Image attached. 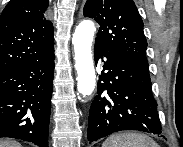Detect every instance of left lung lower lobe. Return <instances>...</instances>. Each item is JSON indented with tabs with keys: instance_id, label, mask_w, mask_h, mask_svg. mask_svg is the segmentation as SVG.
Listing matches in <instances>:
<instances>
[{
	"instance_id": "0a47b994",
	"label": "left lung lower lobe",
	"mask_w": 183,
	"mask_h": 147,
	"mask_svg": "<svg viewBox=\"0 0 183 147\" xmlns=\"http://www.w3.org/2000/svg\"><path fill=\"white\" fill-rule=\"evenodd\" d=\"M94 58L96 64L99 59L104 64L89 112L88 140L96 141L122 130L161 134L148 68L97 44Z\"/></svg>"
}]
</instances>
